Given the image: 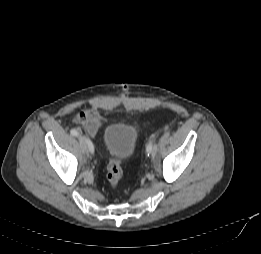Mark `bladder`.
<instances>
[{
	"label": "bladder",
	"mask_w": 261,
	"mask_h": 254,
	"mask_svg": "<svg viewBox=\"0 0 261 254\" xmlns=\"http://www.w3.org/2000/svg\"><path fill=\"white\" fill-rule=\"evenodd\" d=\"M137 131L131 125L114 123L104 132V146L108 153L119 160L130 158L136 148Z\"/></svg>",
	"instance_id": "1"
}]
</instances>
